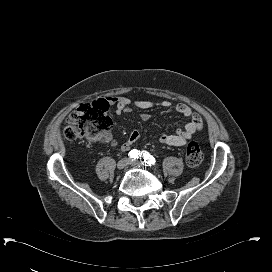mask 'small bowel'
Returning <instances> with one entry per match:
<instances>
[{
	"label": "small bowel",
	"mask_w": 272,
	"mask_h": 272,
	"mask_svg": "<svg viewBox=\"0 0 272 272\" xmlns=\"http://www.w3.org/2000/svg\"><path fill=\"white\" fill-rule=\"evenodd\" d=\"M109 100L115 105L117 114L129 113L131 106L138 109H150L156 106L168 109L171 107L169 101H161L160 103H153L149 101L136 100L131 101L127 97H110ZM177 113L189 119L184 129L178 130L175 134H161L159 141L165 146L180 147L184 146L187 141L198 131L203 128V122L199 115L194 113L192 109L186 104H179L175 107ZM139 117L143 120L150 119L151 115L147 112H142ZM140 138V133L134 130L129 138L123 143V150H130L135 142ZM100 141L104 144H110L111 146H118V142L113 137L110 131H106L102 134Z\"/></svg>",
	"instance_id": "obj_1"
}]
</instances>
